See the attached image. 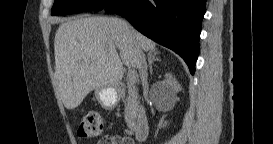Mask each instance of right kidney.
Masks as SVG:
<instances>
[{
    "mask_svg": "<svg viewBox=\"0 0 273 144\" xmlns=\"http://www.w3.org/2000/svg\"><path fill=\"white\" fill-rule=\"evenodd\" d=\"M154 87L160 91L162 96L166 99H174L176 97V92L180 89L179 84L171 75H167V79L162 82H157ZM161 127H165L167 122H161Z\"/></svg>",
    "mask_w": 273,
    "mask_h": 144,
    "instance_id": "obj_1",
    "label": "right kidney"
}]
</instances>
